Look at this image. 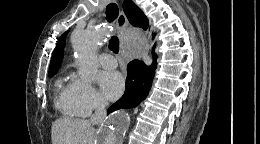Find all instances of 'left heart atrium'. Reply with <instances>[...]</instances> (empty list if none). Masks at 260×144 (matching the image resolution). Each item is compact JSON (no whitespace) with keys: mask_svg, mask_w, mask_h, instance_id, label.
I'll return each mask as SVG.
<instances>
[{"mask_svg":"<svg viewBox=\"0 0 260 144\" xmlns=\"http://www.w3.org/2000/svg\"><path fill=\"white\" fill-rule=\"evenodd\" d=\"M103 96L109 100L117 99L124 90L123 76L116 71L103 72L99 76Z\"/></svg>","mask_w":260,"mask_h":144,"instance_id":"39dd6f15","label":"left heart atrium"}]
</instances>
